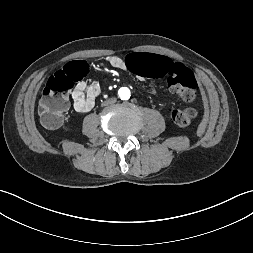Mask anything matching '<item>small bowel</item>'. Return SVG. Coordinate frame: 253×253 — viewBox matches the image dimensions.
Returning <instances> with one entry per match:
<instances>
[{
	"mask_svg": "<svg viewBox=\"0 0 253 253\" xmlns=\"http://www.w3.org/2000/svg\"><path fill=\"white\" fill-rule=\"evenodd\" d=\"M128 56L126 58H122L117 55H111L106 58V61L112 68L127 70ZM100 92H101L100 86L96 83L88 85L85 81L79 82L72 91L71 95L75 110L80 113L90 111L94 107L95 101L99 96Z\"/></svg>",
	"mask_w": 253,
	"mask_h": 253,
	"instance_id": "obj_1",
	"label": "small bowel"
}]
</instances>
